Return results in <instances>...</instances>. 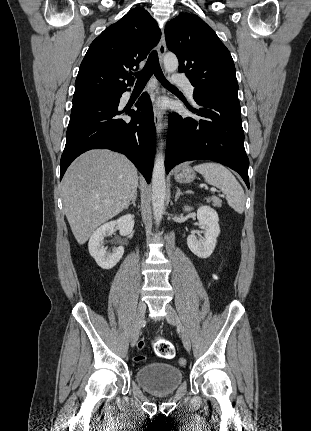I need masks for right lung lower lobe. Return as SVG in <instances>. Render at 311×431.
<instances>
[{
  "mask_svg": "<svg viewBox=\"0 0 311 431\" xmlns=\"http://www.w3.org/2000/svg\"><path fill=\"white\" fill-rule=\"evenodd\" d=\"M122 95V93H121ZM121 97V96H120ZM119 99H96L73 104L61 156L60 179L80 154L90 149H110L131 160L149 183L156 149L152 104L143 93L135 104L137 111H118ZM141 110V111H140ZM128 114L131 120H123Z\"/></svg>",
  "mask_w": 311,
  "mask_h": 431,
  "instance_id": "right-lung-lower-lobe-1",
  "label": "right lung lower lobe"
}]
</instances>
